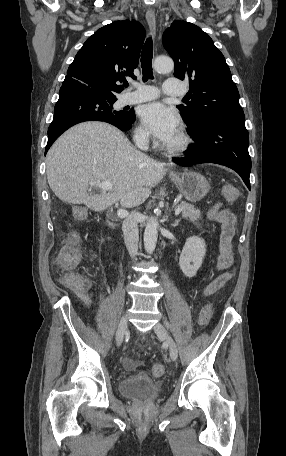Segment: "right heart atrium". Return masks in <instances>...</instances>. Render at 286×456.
<instances>
[{
  "label": "right heart atrium",
  "instance_id": "1",
  "mask_svg": "<svg viewBox=\"0 0 286 456\" xmlns=\"http://www.w3.org/2000/svg\"><path fill=\"white\" fill-rule=\"evenodd\" d=\"M150 139L148 131L143 126H138L135 130V140L138 143H148Z\"/></svg>",
  "mask_w": 286,
  "mask_h": 456
}]
</instances>
